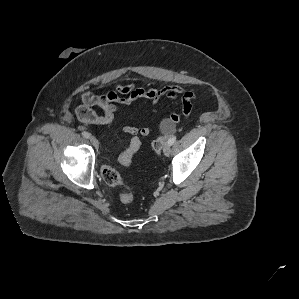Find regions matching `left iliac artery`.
Returning <instances> with one entry per match:
<instances>
[{"label": "left iliac artery", "mask_w": 299, "mask_h": 299, "mask_svg": "<svg viewBox=\"0 0 299 299\" xmlns=\"http://www.w3.org/2000/svg\"><path fill=\"white\" fill-rule=\"evenodd\" d=\"M175 141H176V136H172V137L168 140V143H169L170 145H173V144L175 143Z\"/></svg>", "instance_id": "44dca946"}]
</instances>
